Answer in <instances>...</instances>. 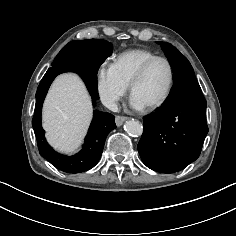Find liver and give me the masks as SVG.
<instances>
[{
	"mask_svg": "<svg viewBox=\"0 0 236 236\" xmlns=\"http://www.w3.org/2000/svg\"><path fill=\"white\" fill-rule=\"evenodd\" d=\"M42 119L47 140L55 149L76 151L92 119L90 96L77 75L63 74L55 79L43 105Z\"/></svg>",
	"mask_w": 236,
	"mask_h": 236,
	"instance_id": "obj_1",
	"label": "liver"
}]
</instances>
